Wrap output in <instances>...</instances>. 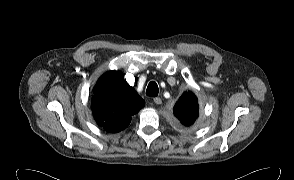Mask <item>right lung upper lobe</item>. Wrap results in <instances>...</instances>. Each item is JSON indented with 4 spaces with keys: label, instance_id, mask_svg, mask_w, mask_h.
I'll list each match as a JSON object with an SVG mask.
<instances>
[{
    "label": "right lung upper lobe",
    "instance_id": "cb5924a9",
    "mask_svg": "<svg viewBox=\"0 0 294 180\" xmlns=\"http://www.w3.org/2000/svg\"><path fill=\"white\" fill-rule=\"evenodd\" d=\"M93 93L91 107L95 121L111 133L125 129L131 116L145 104L119 71H109L102 76Z\"/></svg>",
    "mask_w": 294,
    "mask_h": 180
}]
</instances>
